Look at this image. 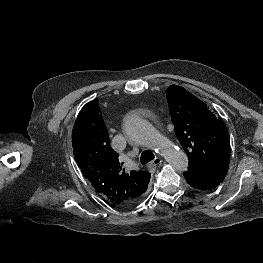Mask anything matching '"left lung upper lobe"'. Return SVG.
I'll return each instance as SVG.
<instances>
[{"mask_svg": "<svg viewBox=\"0 0 263 263\" xmlns=\"http://www.w3.org/2000/svg\"><path fill=\"white\" fill-rule=\"evenodd\" d=\"M175 133L189 158V166H229L230 139L224 121L186 89L166 91Z\"/></svg>", "mask_w": 263, "mask_h": 263, "instance_id": "left-lung-upper-lobe-1", "label": "left lung upper lobe"}]
</instances>
